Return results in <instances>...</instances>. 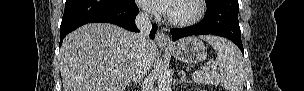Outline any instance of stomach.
I'll use <instances>...</instances> for the list:
<instances>
[{
    "label": "stomach",
    "mask_w": 304,
    "mask_h": 91,
    "mask_svg": "<svg viewBox=\"0 0 304 91\" xmlns=\"http://www.w3.org/2000/svg\"><path fill=\"white\" fill-rule=\"evenodd\" d=\"M165 49L170 51L176 59L188 64L202 62L207 57L204 44L194 36L180 39Z\"/></svg>",
    "instance_id": "1"
}]
</instances>
